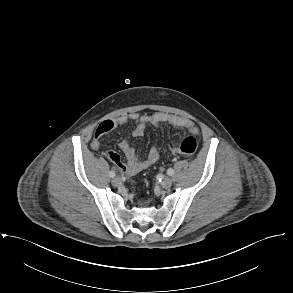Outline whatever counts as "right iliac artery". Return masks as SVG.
<instances>
[{
	"instance_id": "obj_1",
	"label": "right iliac artery",
	"mask_w": 293,
	"mask_h": 293,
	"mask_svg": "<svg viewBox=\"0 0 293 293\" xmlns=\"http://www.w3.org/2000/svg\"><path fill=\"white\" fill-rule=\"evenodd\" d=\"M115 175H116V174H115V172H114V171H110V172H109V176H110L111 178H114V177H115Z\"/></svg>"
}]
</instances>
